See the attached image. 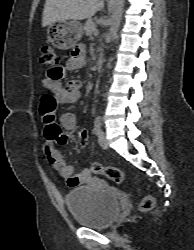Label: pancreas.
<instances>
[{
  "label": "pancreas",
  "instance_id": "1",
  "mask_svg": "<svg viewBox=\"0 0 194 250\" xmlns=\"http://www.w3.org/2000/svg\"><path fill=\"white\" fill-rule=\"evenodd\" d=\"M83 30L87 36L93 35L96 30V22L93 19H88L84 24Z\"/></svg>",
  "mask_w": 194,
  "mask_h": 250
}]
</instances>
